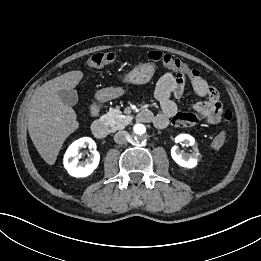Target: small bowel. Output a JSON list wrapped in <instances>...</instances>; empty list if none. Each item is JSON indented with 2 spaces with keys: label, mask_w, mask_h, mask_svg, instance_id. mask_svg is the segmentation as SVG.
Segmentation results:
<instances>
[{
  "label": "small bowel",
  "mask_w": 261,
  "mask_h": 261,
  "mask_svg": "<svg viewBox=\"0 0 261 261\" xmlns=\"http://www.w3.org/2000/svg\"><path fill=\"white\" fill-rule=\"evenodd\" d=\"M190 83L195 93L204 99L192 106L194 112H180L173 98L182 97L185 90L184 76L165 73L160 78L155 90L160 111L152 119L157 128L163 129L169 124L193 126L200 120L215 125L221 121L223 110L217 90L201 76L191 78Z\"/></svg>",
  "instance_id": "obj_1"
}]
</instances>
